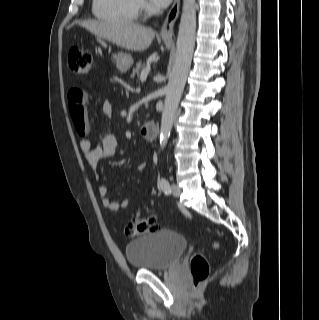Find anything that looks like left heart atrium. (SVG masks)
Segmentation results:
<instances>
[{"instance_id":"left-heart-atrium-1","label":"left heart atrium","mask_w":319,"mask_h":320,"mask_svg":"<svg viewBox=\"0 0 319 320\" xmlns=\"http://www.w3.org/2000/svg\"><path fill=\"white\" fill-rule=\"evenodd\" d=\"M170 1L171 0H151L154 6L160 7V8L166 7L170 3Z\"/></svg>"}]
</instances>
